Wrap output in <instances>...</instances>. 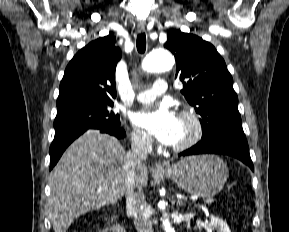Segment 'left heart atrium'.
<instances>
[{
	"label": "left heart atrium",
	"mask_w": 289,
	"mask_h": 232,
	"mask_svg": "<svg viewBox=\"0 0 289 232\" xmlns=\"http://www.w3.org/2000/svg\"><path fill=\"white\" fill-rule=\"evenodd\" d=\"M133 122L161 143L174 145L177 140L179 118L165 104L135 113Z\"/></svg>",
	"instance_id": "39dd6f15"
}]
</instances>
